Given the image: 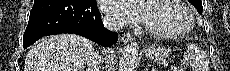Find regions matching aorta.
I'll use <instances>...</instances> for the list:
<instances>
[{"instance_id":"1","label":"aorta","mask_w":230,"mask_h":71,"mask_svg":"<svg viewBox=\"0 0 230 71\" xmlns=\"http://www.w3.org/2000/svg\"><path fill=\"white\" fill-rule=\"evenodd\" d=\"M139 47L134 41L128 43L121 54L119 60V71H135L139 65Z\"/></svg>"}]
</instances>
